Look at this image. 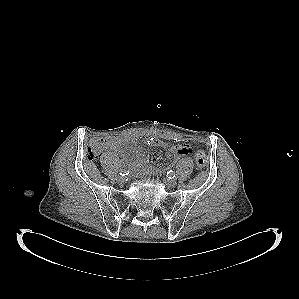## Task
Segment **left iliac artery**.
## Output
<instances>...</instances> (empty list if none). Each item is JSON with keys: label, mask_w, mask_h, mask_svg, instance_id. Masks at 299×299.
Returning <instances> with one entry per match:
<instances>
[{"label": "left iliac artery", "mask_w": 299, "mask_h": 299, "mask_svg": "<svg viewBox=\"0 0 299 299\" xmlns=\"http://www.w3.org/2000/svg\"><path fill=\"white\" fill-rule=\"evenodd\" d=\"M167 176H168V178L172 179V178L176 177V174L174 171L170 170L167 172Z\"/></svg>", "instance_id": "left-iliac-artery-1"}]
</instances>
